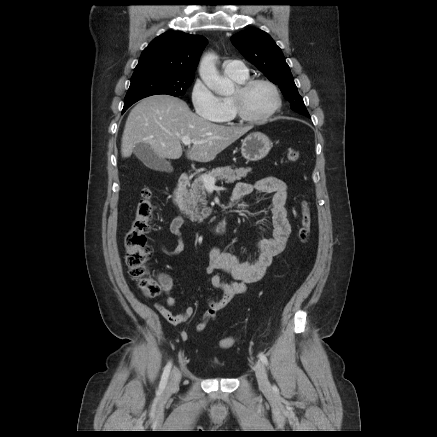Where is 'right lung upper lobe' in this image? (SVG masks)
<instances>
[{
    "label": "right lung upper lobe",
    "instance_id": "right-lung-upper-lobe-1",
    "mask_svg": "<svg viewBox=\"0 0 437 437\" xmlns=\"http://www.w3.org/2000/svg\"><path fill=\"white\" fill-rule=\"evenodd\" d=\"M207 40L201 35L168 31L155 38L142 52L134 72L156 69L177 76H194Z\"/></svg>",
    "mask_w": 437,
    "mask_h": 437
}]
</instances>
